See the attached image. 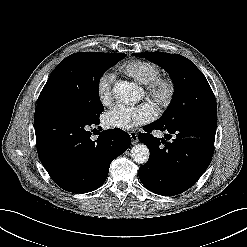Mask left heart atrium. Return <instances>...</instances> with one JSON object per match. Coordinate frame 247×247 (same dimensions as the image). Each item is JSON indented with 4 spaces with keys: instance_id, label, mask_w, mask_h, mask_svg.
<instances>
[{
    "instance_id": "39dd6f15",
    "label": "left heart atrium",
    "mask_w": 247,
    "mask_h": 247,
    "mask_svg": "<svg viewBox=\"0 0 247 247\" xmlns=\"http://www.w3.org/2000/svg\"><path fill=\"white\" fill-rule=\"evenodd\" d=\"M156 114L155 107L149 102L136 106L117 104L107 112L105 121L109 126L130 130L150 122Z\"/></svg>"
}]
</instances>
